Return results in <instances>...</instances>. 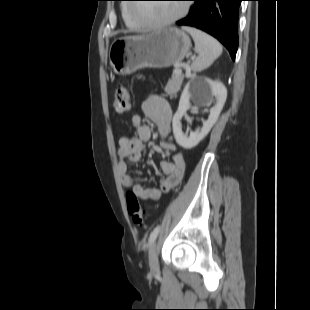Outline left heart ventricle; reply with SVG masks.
<instances>
[{
  "label": "left heart ventricle",
  "mask_w": 310,
  "mask_h": 310,
  "mask_svg": "<svg viewBox=\"0 0 310 310\" xmlns=\"http://www.w3.org/2000/svg\"><path fill=\"white\" fill-rule=\"evenodd\" d=\"M181 7V4H144L135 7L134 13L143 19L161 22L177 15L180 12Z\"/></svg>",
  "instance_id": "1"
}]
</instances>
